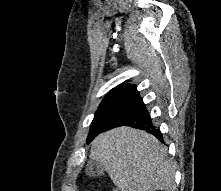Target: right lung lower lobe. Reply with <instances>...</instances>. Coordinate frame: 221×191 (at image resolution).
<instances>
[{
    "instance_id": "98d812e1",
    "label": "right lung lower lobe",
    "mask_w": 221,
    "mask_h": 191,
    "mask_svg": "<svg viewBox=\"0 0 221 191\" xmlns=\"http://www.w3.org/2000/svg\"><path fill=\"white\" fill-rule=\"evenodd\" d=\"M101 124L99 134L115 127L131 126L146 130L163 142L162 134L159 129L154 128L151 117L136 88L112 106Z\"/></svg>"
}]
</instances>
